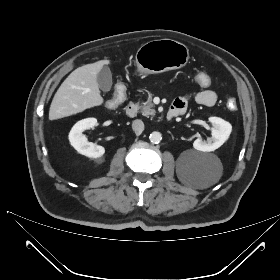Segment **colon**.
Returning <instances> with one entry per match:
<instances>
[{
    "instance_id": "colon-1",
    "label": "colon",
    "mask_w": 280,
    "mask_h": 280,
    "mask_svg": "<svg viewBox=\"0 0 280 280\" xmlns=\"http://www.w3.org/2000/svg\"><path fill=\"white\" fill-rule=\"evenodd\" d=\"M191 81L198 90L205 91L211 85L212 79L211 76L205 71L198 70L192 74ZM113 91V96H108L104 100V105L108 109H113L117 104H122L126 100V86L124 83H115L113 86ZM226 104L230 110H235L237 108L236 100L233 97L228 98Z\"/></svg>"
}]
</instances>
